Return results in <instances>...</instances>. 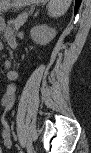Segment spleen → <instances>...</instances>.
<instances>
[{
	"mask_svg": "<svg viewBox=\"0 0 91 153\" xmlns=\"http://www.w3.org/2000/svg\"><path fill=\"white\" fill-rule=\"evenodd\" d=\"M70 4V0H50L48 3V15L50 17H59L68 10Z\"/></svg>",
	"mask_w": 91,
	"mask_h": 153,
	"instance_id": "3e777b00",
	"label": "spleen"
}]
</instances>
